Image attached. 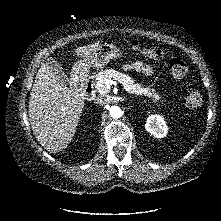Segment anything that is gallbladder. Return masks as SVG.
I'll use <instances>...</instances> for the list:
<instances>
[{
    "instance_id": "1",
    "label": "gallbladder",
    "mask_w": 221,
    "mask_h": 221,
    "mask_svg": "<svg viewBox=\"0 0 221 221\" xmlns=\"http://www.w3.org/2000/svg\"><path fill=\"white\" fill-rule=\"evenodd\" d=\"M46 63L61 83L68 84L69 79L67 75L64 73L62 67L54 59H48Z\"/></svg>"
}]
</instances>
